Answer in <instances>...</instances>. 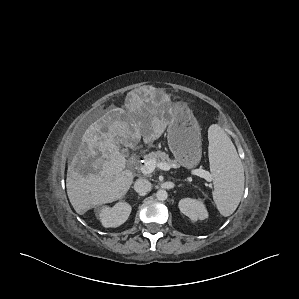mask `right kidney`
<instances>
[{
	"instance_id": "1",
	"label": "right kidney",
	"mask_w": 299,
	"mask_h": 299,
	"mask_svg": "<svg viewBox=\"0 0 299 299\" xmlns=\"http://www.w3.org/2000/svg\"><path fill=\"white\" fill-rule=\"evenodd\" d=\"M131 209L130 204L120 201L113 207L103 206L99 210L98 216L104 227L115 228L122 225L128 219Z\"/></svg>"
}]
</instances>
